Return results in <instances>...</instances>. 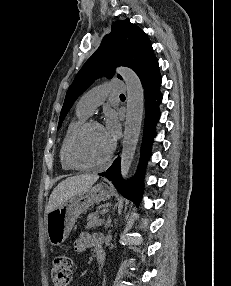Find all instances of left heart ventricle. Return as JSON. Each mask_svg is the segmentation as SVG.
Returning a JSON list of instances; mask_svg holds the SVG:
<instances>
[{"mask_svg":"<svg viewBox=\"0 0 231 286\" xmlns=\"http://www.w3.org/2000/svg\"><path fill=\"white\" fill-rule=\"evenodd\" d=\"M112 140L103 127L88 128L77 140L75 155L84 162H96L103 159L109 152Z\"/></svg>","mask_w":231,"mask_h":286,"instance_id":"1","label":"left heart ventricle"}]
</instances>
